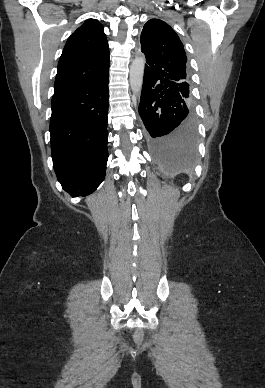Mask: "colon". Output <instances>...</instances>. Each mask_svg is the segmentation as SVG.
<instances>
[{
	"label": "colon",
	"mask_w": 265,
	"mask_h": 388,
	"mask_svg": "<svg viewBox=\"0 0 265 388\" xmlns=\"http://www.w3.org/2000/svg\"><path fill=\"white\" fill-rule=\"evenodd\" d=\"M142 336H143V331L141 329L137 330L135 333V340L140 341L142 339Z\"/></svg>",
	"instance_id": "5ec220e1"
}]
</instances>
